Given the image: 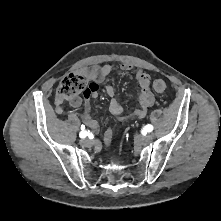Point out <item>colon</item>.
Instances as JSON below:
<instances>
[{
	"label": "colon",
	"mask_w": 221,
	"mask_h": 221,
	"mask_svg": "<svg viewBox=\"0 0 221 221\" xmlns=\"http://www.w3.org/2000/svg\"><path fill=\"white\" fill-rule=\"evenodd\" d=\"M88 80L83 74L72 73L66 76L58 89V95L62 99L75 97L81 93L83 88H87ZM153 87L156 92L164 93L167 89V84L162 79L154 81Z\"/></svg>",
	"instance_id": "1"
}]
</instances>
